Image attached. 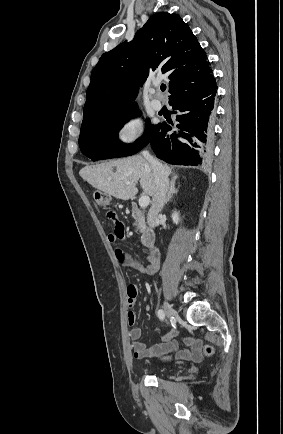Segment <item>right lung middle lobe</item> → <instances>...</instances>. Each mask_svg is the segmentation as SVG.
<instances>
[{"mask_svg":"<svg viewBox=\"0 0 283 434\" xmlns=\"http://www.w3.org/2000/svg\"><path fill=\"white\" fill-rule=\"evenodd\" d=\"M138 115L134 108L110 116L92 126L81 129L79 146L83 154L93 161L99 159L125 157L133 155L145 147L153 138L159 125L147 124L144 135L134 144L125 145L118 139V132L131 118Z\"/></svg>","mask_w":283,"mask_h":434,"instance_id":"1","label":"right lung middle lobe"}]
</instances>
